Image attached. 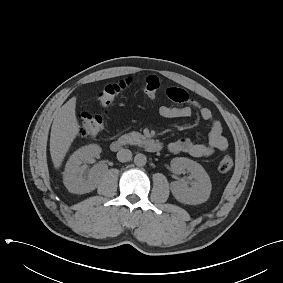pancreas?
Segmentation results:
<instances>
[{
  "label": "pancreas",
  "instance_id": "obj_1",
  "mask_svg": "<svg viewBox=\"0 0 283 283\" xmlns=\"http://www.w3.org/2000/svg\"><path fill=\"white\" fill-rule=\"evenodd\" d=\"M145 137L143 135H141L138 132H131L128 134H124L119 138V141L122 144H137L139 143L142 139H144Z\"/></svg>",
  "mask_w": 283,
  "mask_h": 283
}]
</instances>
